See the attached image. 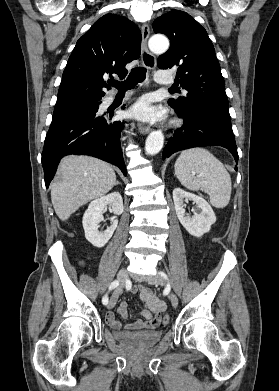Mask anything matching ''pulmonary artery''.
Wrapping results in <instances>:
<instances>
[{
    "mask_svg": "<svg viewBox=\"0 0 279 391\" xmlns=\"http://www.w3.org/2000/svg\"><path fill=\"white\" fill-rule=\"evenodd\" d=\"M155 79L159 83L170 84L173 82V77L170 74L165 73L164 71H159L155 75Z\"/></svg>",
    "mask_w": 279,
    "mask_h": 391,
    "instance_id": "pulmonary-artery-1",
    "label": "pulmonary artery"
}]
</instances>
